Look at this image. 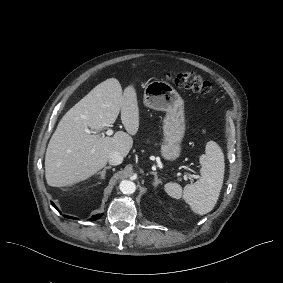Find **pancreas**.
Segmentation results:
<instances>
[{
	"mask_svg": "<svg viewBox=\"0 0 283 283\" xmlns=\"http://www.w3.org/2000/svg\"><path fill=\"white\" fill-rule=\"evenodd\" d=\"M154 146L160 147L161 144L155 141V142H154Z\"/></svg>",
	"mask_w": 283,
	"mask_h": 283,
	"instance_id": "obj_1",
	"label": "pancreas"
}]
</instances>
